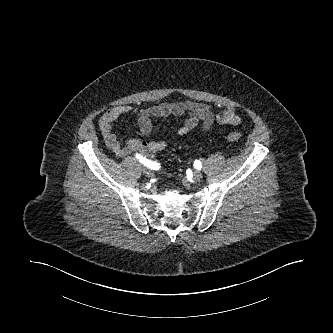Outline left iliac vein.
<instances>
[{
	"label": "left iliac vein",
	"mask_w": 333,
	"mask_h": 333,
	"mask_svg": "<svg viewBox=\"0 0 333 333\" xmlns=\"http://www.w3.org/2000/svg\"><path fill=\"white\" fill-rule=\"evenodd\" d=\"M192 177H193V180H194V181H200V180L202 179L203 176H202V173H201L200 171L195 170V171L193 172Z\"/></svg>",
	"instance_id": "obj_1"
}]
</instances>
